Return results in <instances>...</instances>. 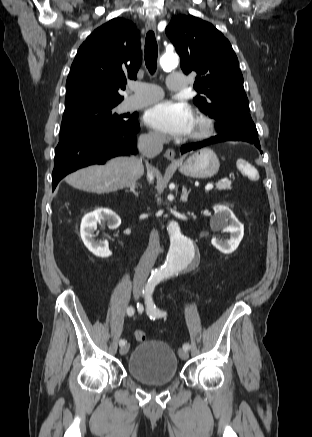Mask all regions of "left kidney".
<instances>
[{"label":"left kidney","mask_w":312,"mask_h":437,"mask_svg":"<svg viewBox=\"0 0 312 437\" xmlns=\"http://www.w3.org/2000/svg\"><path fill=\"white\" fill-rule=\"evenodd\" d=\"M215 214L210 220L211 229L214 231L222 230L230 233L228 240H219L213 237L212 245L224 254L234 252L244 235V225L238 220L235 214L224 205L214 206Z\"/></svg>","instance_id":"5707ae66"}]
</instances>
